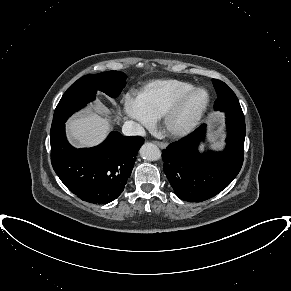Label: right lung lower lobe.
Here are the masks:
<instances>
[{
  "label": "right lung lower lobe",
  "instance_id": "1",
  "mask_svg": "<svg viewBox=\"0 0 291 291\" xmlns=\"http://www.w3.org/2000/svg\"><path fill=\"white\" fill-rule=\"evenodd\" d=\"M50 137L55 173L73 194L94 204H106L120 196L144 141L139 136L111 132L96 147L76 149L66 139L64 124Z\"/></svg>",
  "mask_w": 291,
  "mask_h": 291
}]
</instances>
